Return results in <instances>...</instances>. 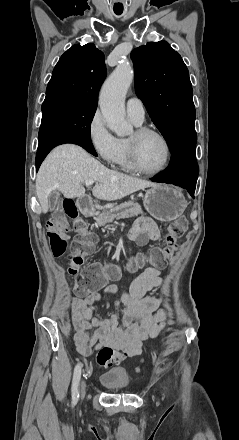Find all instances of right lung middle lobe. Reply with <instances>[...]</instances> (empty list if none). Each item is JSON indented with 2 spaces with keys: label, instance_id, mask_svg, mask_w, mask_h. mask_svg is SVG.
<instances>
[{
  "label": "right lung middle lobe",
  "instance_id": "dd1d6c3e",
  "mask_svg": "<svg viewBox=\"0 0 239 440\" xmlns=\"http://www.w3.org/2000/svg\"><path fill=\"white\" fill-rule=\"evenodd\" d=\"M95 111V108L66 101L43 104L39 141L47 136L65 132H76L90 137V123Z\"/></svg>",
  "mask_w": 239,
  "mask_h": 440
}]
</instances>
